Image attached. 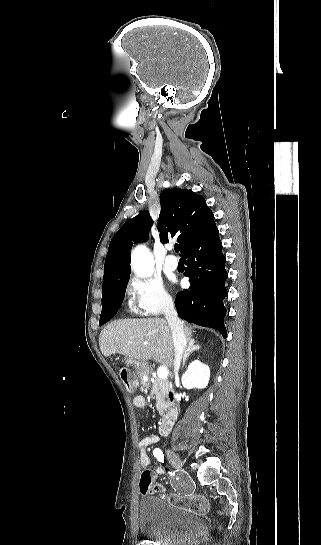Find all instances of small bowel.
Returning <instances> with one entry per match:
<instances>
[{
  "instance_id": "small-bowel-1",
  "label": "small bowel",
  "mask_w": 321,
  "mask_h": 545,
  "mask_svg": "<svg viewBox=\"0 0 321 545\" xmlns=\"http://www.w3.org/2000/svg\"><path fill=\"white\" fill-rule=\"evenodd\" d=\"M133 403L136 407L142 408L145 406V399L141 395H137L133 399ZM158 437L156 435H147L138 444L139 449V460L140 464L143 467L144 470H149L150 465V458L148 456V448L158 442ZM166 472V468L163 466H159L155 471V475H161Z\"/></svg>"
}]
</instances>
